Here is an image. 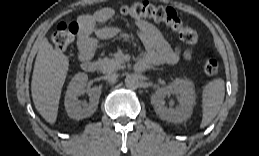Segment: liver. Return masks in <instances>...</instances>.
Segmentation results:
<instances>
[{"label": "liver", "mask_w": 259, "mask_h": 156, "mask_svg": "<svg viewBox=\"0 0 259 156\" xmlns=\"http://www.w3.org/2000/svg\"><path fill=\"white\" fill-rule=\"evenodd\" d=\"M68 70V57L54 49L47 38H43L34 64L31 93L35 108L50 124L56 122L61 90Z\"/></svg>", "instance_id": "liver-1"}]
</instances>
